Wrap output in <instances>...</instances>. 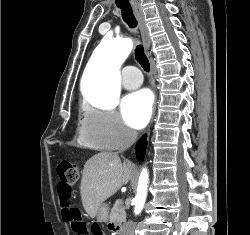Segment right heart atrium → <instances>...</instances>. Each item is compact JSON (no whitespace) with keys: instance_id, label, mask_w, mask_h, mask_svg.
I'll return each instance as SVG.
<instances>
[{"instance_id":"1","label":"right heart atrium","mask_w":250,"mask_h":235,"mask_svg":"<svg viewBox=\"0 0 250 235\" xmlns=\"http://www.w3.org/2000/svg\"><path fill=\"white\" fill-rule=\"evenodd\" d=\"M79 136L91 147L118 150L132 144L136 133L115 110L87 106L80 121Z\"/></svg>"}]
</instances>
